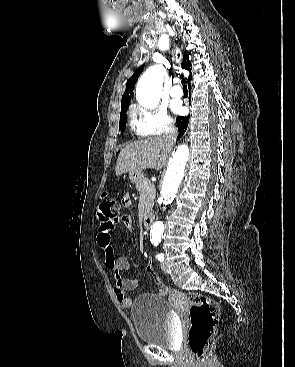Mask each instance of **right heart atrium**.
I'll use <instances>...</instances> for the list:
<instances>
[{
  "mask_svg": "<svg viewBox=\"0 0 295 367\" xmlns=\"http://www.w3.org/2000/svg\"><path fill=\"white\" fill-rule=\"evenodd\" d=\"M131 126L139 136H156L171 131L174 124L164 106L137 105L132 110Z\"/></svg>",
  "mask_w": 295,
  "mask_h": 367,
  "instance_id": "d8ad5b80",
  "label": "right heart atrium"
}]
</instances>
